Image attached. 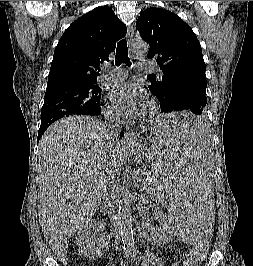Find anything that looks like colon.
Here are the masks:
<instances>
[{"instance_id": "colon-1", "label": "colon", "mask_w": 253, "mask_h": 266, "mask_svg": "<svg viewBox=\"0 0 253 266\" xmlns=\"http://www.w3.org/2000/svg\"><path fill=\"white\" fill-rule=\"evenodd\" d=\"M209 249V243L207 242V248H190L184 259V266H199L204 259Z\"/></svg>"}]
</instances>
